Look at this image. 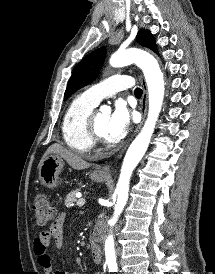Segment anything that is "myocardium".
I'll return each mask as SVG.
<instances>
[{
  "label": "myocardium",
  "mask_w": 215,
  "mask_h": 274,
  "mask_svg": "<svg viewBox=\"0 0 215 274\" xmlns=\"http://www.w3.org/2000/svg\"><path fill=\"white\" fill-rule=\"evenodd\" d=\"M95 115L96 113L92 111L88 116L86 123L87 132L93 143H102L104 142L105 137H103L97 130Z\"/></svg>",
  "instance_id": "1"
}]
</instances>
